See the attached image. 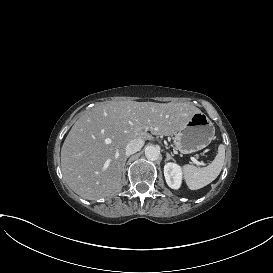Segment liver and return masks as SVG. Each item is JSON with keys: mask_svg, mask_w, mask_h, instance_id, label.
Segmentation results:
<instances>
[{"mask_svg": "<svg viewBox=\"0 0 273 273\" xmlns=\"http://www.w3.org/2000/svg\"><path fill=\"white\" fill-rule=\"evenodd\" d=\"M201 113L187 103L119 101L95 105L73 125L61 149V170L68 186L88 200L120 188L126 146L133 139L173 135Z\"/></svg>", "mask_w": 273, "mask_h": 273, "instance_id": "obj_1", "label": "liver"}]
</instances>
